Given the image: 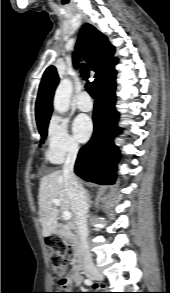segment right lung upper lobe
<instances>
[{
  "instance_id": "right-lung-upper-lobe-1",
  "label": "right lung upper lobe",
  "mask_w": 170,
  "mask_h": 293,
  "mask_svg": "<svg viewBox=\"0 0 170 293\" xmlns=\"http://www.w3.org/2000/svg\"><path fill=\"white\" fill-rule=\"evenodd\" d=\"M114 52L115 48L109 43L107 37L86 23L80 31L76 52H74V66H78V54L80 53L88 62L90 69L96 72L94 83L97 87L116 74L114 66L118 60L113 57ZM58 82L59 77L55 67H48L43 74L36 101L38 129L48 125L52 112V98Z\"/></svg>"
}]
</instances>
